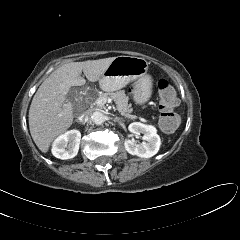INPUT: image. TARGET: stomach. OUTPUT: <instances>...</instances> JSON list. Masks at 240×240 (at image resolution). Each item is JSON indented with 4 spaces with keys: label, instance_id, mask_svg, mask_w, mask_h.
Listing matches in <instances>:
<instances>
[{
    "label": "stomach",
    "instance_id": "stomach-1",
    "mask_svg": "<svg viewBox=\"0 0 240 240\" xmlns=\"http://www.w3.org/2000/svg\"><path fill=\"white\" fill-rule=\"evenodd\" d=\"M148 62L142 57H116L99 80L104 91H116L133 84V99L137 104L146 103L151 97L152 78L147 74Z\"/></svg>",
    "mask_w": 240,
    "mask_h": 240
}]
</instances>
